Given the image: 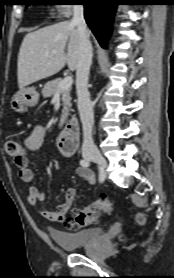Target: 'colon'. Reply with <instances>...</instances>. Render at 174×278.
I'll return each instance as SVG.
<instances>
[{
	"mask_svg": "<svg viewBox=\"0 0 174 278\" xmlns=\"http://www.w3.org/2000/svg\"><path fill=\"white\" fill-rule=\"evenodd\" d=\"M7 154L13 156L14 158H20L26 156L27 152L23 145L18 144L14 141H7L4 145ZM111 210V204L108 200L101 198L93 201L89 205L74 210L67 223L70 229H77L85 225L92 224L96 222L104 213ZM137 221L139 223H144L145 218L142 214L137 215Z\"/></svg>",
	"mask_w": 174,
	"mask_h": 278,
	"instance_id": "1",
	"label": "colon"
}]
</instances>
